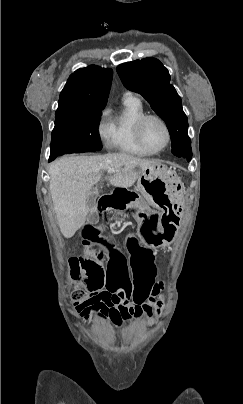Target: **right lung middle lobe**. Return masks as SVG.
<instances>
[{
	"label": "right lung middle lobe",
	"instance_id": "dd1d6c3e",
	"mask_svg": "<svg viewBox=\"0 0 243 404\" xmlns=\"http://www.w3.org/2000/svg\"><path fill=\"white\" fill-rule=\"evenodd\" d=\"M102 108H69L55 112L49 162L68 153L99 151L98 132Z\"/></svg>",
	"mask_w": 243,
	"mask_h": 404
}]
</instances>
